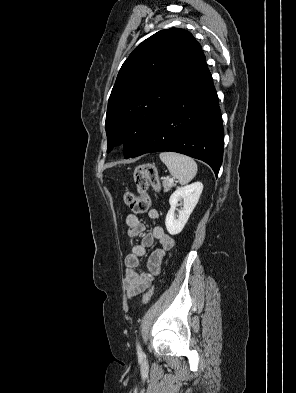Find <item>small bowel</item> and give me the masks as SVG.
<instances>
[{"label": "small bowel", "mask_w": 296, "mask_h": 393, "mask_svg": "<svg viewBox=\"0 0 296 393\" xmlns=\"http://www.w3.org/2000/svg\"><path fill=\"white\" fill-rule=\"evenodd\" d=\"M147 215L151 220H156L159 217L158 211L154 208L149 209ZM126 225L129 237H141V244L134 245L131 253L125 257L126 277L124 285L127 296L134 298L145 292L150 287L154 277L160 273L163 258L166 252L173 247L174 241L161 226H155L150 232H146L145 226L135 213H129L126 216ZM155 241H158L161 247L150 254L147 261V270H140V260L144 256L146 248L151 247Z\"/></svg>", "instance_id": "obj_1"}]
</instances>
